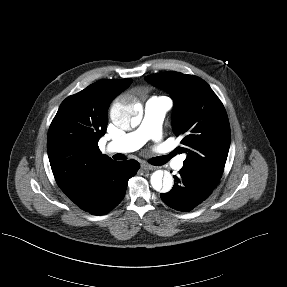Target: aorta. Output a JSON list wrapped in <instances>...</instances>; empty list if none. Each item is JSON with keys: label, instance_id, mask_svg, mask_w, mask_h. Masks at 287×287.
<instances>
[{"label": "aorta", "instance_id": "1", "mask_svg": "<svg viewBox=\"0 0 287 287\" xmlns=\"http://www.w3.org/2000/svg\"><path fill=\"white\" fill-rule=\"evenodd\" d=\"M110 117L114 125L119 128L127 129L136 127L141 121V108L137 100L123 98L114 103L110 110ZM154 190L169 192L173 187V177L170 173L162 170L155 171L150 178Z\"/></svg>", "mask_w": 287, "mask_h": 287}]
</instances>
